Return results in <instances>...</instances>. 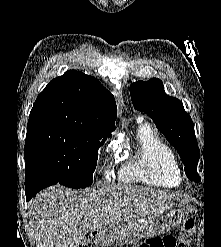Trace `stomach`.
Instances as JSON below:
<instances>
[{
  "mask_svg": "<svg viewBox=\"0 0 221 247\" xmlns=\"http://www.w3.org/2000/svg\"><path fill=\"white\" fill-rule=\"evenodd\" d=\"M191 212L192 207L190 203L181 197H176L168 201L164 207L153 212L148 218L149 222L143 229L132 228L126 235H122V229L115 235L104 231L99 233V239L103 245L113 242L123 244L122 242H125L133 244V247H135L144 236L160 235L176 228ZM130 226L131 224L128 225V227Z\"/></svg>",
  "mask_w": 221,
  "mask_h": 247,
  "instance_id": "0dacf381",
  "label": "stomach"
}]
</instances>
